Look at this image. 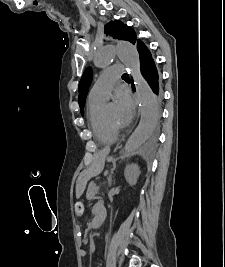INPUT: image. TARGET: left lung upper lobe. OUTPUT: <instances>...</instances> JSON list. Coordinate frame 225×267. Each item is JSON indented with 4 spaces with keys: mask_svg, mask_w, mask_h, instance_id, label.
Returning <instances> with one entry per match:
<instances>
[{
    "mask_svg": "<svg viewBox=\"0 0 225 267\" xmlns=\"http://www.w3.org/2000/svg\"><path fill=\"white\" fill-rule=\"evenodd\" d=\"M105 33L110 34L114 38L119 40H126L131 42L132 44H137L138 40H136V33L127 25H124L122 22L115 20L114 22H109L105 25ZM92 71L91 68H87L80 80L78 90H79V97L78 103L80 106L81 114L83 115V108L85 105V99L88 92V88L91 83ZM160 118V106L157 105V121Z\"/></svg>",
    "mask_w": 225,
    "mask_h": 267,
    "instance_id": "1",
    "label": "left lung upper lobe"
}]
</instances>
